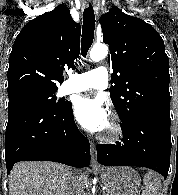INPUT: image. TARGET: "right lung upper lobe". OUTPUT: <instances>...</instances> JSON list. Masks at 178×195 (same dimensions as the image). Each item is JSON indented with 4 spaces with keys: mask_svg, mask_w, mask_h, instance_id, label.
Wrapping results in <instances>:
<instances>
[{
    "mask_svg": "<svg viewBox=\"0 0 178 195\" xmlns=\"http://www.w3.org/2000/svg\"><path fill=\"white\" fill-rule=\"evenodd\" d=\"M81 27L61 4L29 21L15 39L8 69V96L57 90L65 68H73L80 53Z\"/></svg>",
    "mask_w": 178,
    "mask_h": 195,
    "instance_id": "right-lung-upper-lobe-1",
    "label": "right lung upper lobe"
}]
</instances>
